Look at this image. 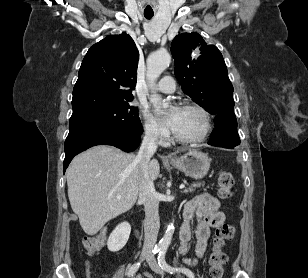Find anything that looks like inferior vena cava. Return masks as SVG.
I'll return each mask as SVG.
<instances>
[{
  "label": "inferior vena cava",
  "mask_w": 308,
  "mask_h": 278,
  "mask_svg": "<svg viewBox=\"0 0 308 278\" xmlns=\"http://www.w3.org/2000/svg\"><path fill=\"white\" fill-rule=\"evenodd\" d=\"M157 139L158 133L154 129L147 130L135 159L142 170V177L139 184V201L143 203L145 210L143 253L152 252L157 242L160 228L158 213L159 200L153 180L150 178L148 172L150 159L157 149Z\"/></svg>",
  "instance_id": "obj_1"
}]
</instances>
